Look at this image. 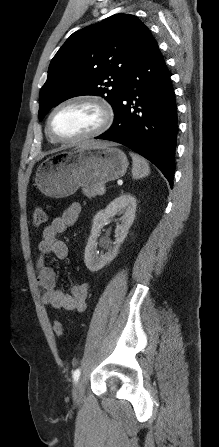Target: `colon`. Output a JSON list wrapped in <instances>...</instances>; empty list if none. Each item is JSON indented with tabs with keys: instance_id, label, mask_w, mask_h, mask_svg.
<instances>
[{
	"instance_id": "obj_1",
	"label": "colon",
	"mask_w": 219,
	"mask_h": 447,
	"mask_svg": "<svg viewBox=\"0 0 219 447\" xmlns=\"http://www.w3.org/2000/svg\"><path fill=\"white\" fill-rule=\"evenodd\" d=\"M46 223V214L43 209L37 207L33 213V224L35 226H42ZM53 330L57 336H61L64 333L63 324L60 321H55L53 323Z\"/></svg>"
}]
</instances>
